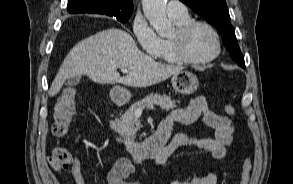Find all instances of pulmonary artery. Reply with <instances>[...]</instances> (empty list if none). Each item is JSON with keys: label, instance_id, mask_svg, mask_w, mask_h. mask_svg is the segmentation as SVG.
<instances>
[{"label": "pulmonary artery", "instance_id": "obj_1", "mask_svg": "<svg viewBox=\"0 0 293 184\" xmlns=\"http://www.w3.org/2000/svg\"><path fill=\"white\" fill-rule=\"evenodd\" d=\"M167 13L170 17H185L188 15L186 6L179 0H170L168 2Z\"/></svg>", "mask_w": 293, "mask_h": 184}]
</instances>
